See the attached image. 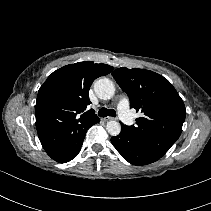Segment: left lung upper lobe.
I'll list each match as a JSON object with an SVG mask.
<instances>
[{"instance_id":"obj_1","label":"left lung upper lobe","mask_w":211,"mask_h":211,"mask_svg":"<svg viewBox=\"0 0 211 211\" xmlns=\"http://www.w3.org/2000/svg\"><path fill=\"white\" fill-rule=\"evenodd\" d=\"M130 99V107L143 113L128 129L152 152L162 157L177 141L185 120L183 100L163 76L150 70L118 68L112 73Z\"/></svg>"}]
</instances>
